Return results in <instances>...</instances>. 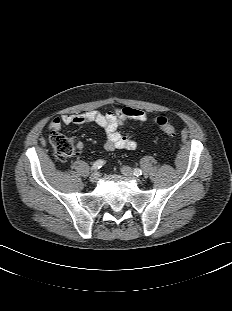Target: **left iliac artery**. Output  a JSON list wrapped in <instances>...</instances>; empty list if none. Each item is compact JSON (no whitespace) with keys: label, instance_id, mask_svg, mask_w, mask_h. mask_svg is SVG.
I'll list each match as a JSON object with an SVG mask.
<instances>
[{"label":"left iliac artery","instance_id":"44dca946","mask_svg":"<svg viewBox=\"0 0 232 311\" xmlns=\"http://www.w3.org/2000/svg\"><path fill=\"white\" fill-rule=\"evenodd\" d=\"M134 175L137 176V177L142 175V170H140L138 168L134 169Z\"/></svg>","mask_w":232,"mask_h":311}]
</instances>
